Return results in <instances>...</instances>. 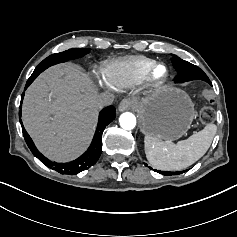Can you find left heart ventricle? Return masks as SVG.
Here are the masks:
<instances>
[{
  "label": "left heart ventricle",
  "mask_w": 237,
  "mask_h": 237,
  "mask_svg": "<svg viewBox=\"0 0 237 237\" xmlns=\"http://www.w3.org/2000/svg\"><path fill=\"white\" fill-rule=\"evenodd\" d=\"M164 74V68L163 67H158L155 71V76L156 77H161Z\"/></svg>",
  "instance_id": "1"
}]
</instances>
